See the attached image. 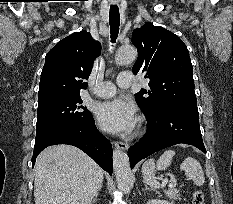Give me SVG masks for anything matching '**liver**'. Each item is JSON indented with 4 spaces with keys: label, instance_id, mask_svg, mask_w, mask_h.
Listing matches in <instances>:
<instances>
[{
    "label": "liver",
    "instance_id": "liver-1",
    "mask_svg": "<svg viewBox=\"0 0 233 204\" xmlns=\"http://www.w3.org/2000/svg\"><path fill=\"white\" fill-rule=\"evenodd\" d=\"M103 170L71 145L44 149L35 164V204H91L100 191Z\"/></svg>",
    "mask_w": 233,
    "mask_h": 204
}]
</instances>
